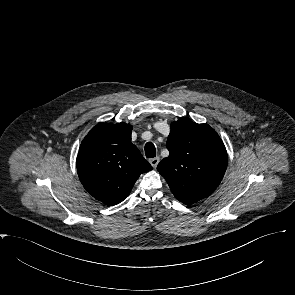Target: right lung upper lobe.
<instances>
[{
	"label": "right lung upper lobe",
	"mask_w": 295,
	"mask_h": 295,
	"mask_svg": "<svg viewBox=\"0 0 295 295\" xmlns=\"http://www.w3.org/2000/svg\"><path fill=\"white\" fill-rule=\"evenodd\" d=\"M133 127L99 123L81 143L77 172L84 188L98 201L113 206L130 193L140 174L152 166L131 143Z\"/></svg>",
	"instance_id": "1"
}]
</instances>
